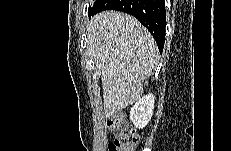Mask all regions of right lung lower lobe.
Masks as SVG:
<instances>
[{"instance_id": "98d812e1", "label": "right lung lower lobe", "mask_w": 231, "mask_h": 151, "mask_svg": "<svg viewBox=\"0 0 231 151\" xmlns=\"http://www.w3.org/2000/svg\"><path fill=\"white\" fill-rule=\"evenodd\" d=\"M104 10H118L135 16L153 35L162 53L166 26L164 0H96L89 7L88 15L91 17Z\"/></svg>"}]
</instances>
